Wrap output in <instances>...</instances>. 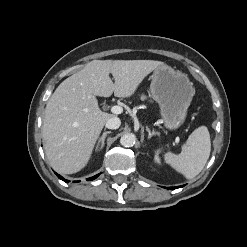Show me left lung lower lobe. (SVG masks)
Instances as JSON below:
<instances>
[{
  "instance_id": "1",
  "label": "left lung lower lobe",
  "mask_w": 247,
  "mask_h": 247,
  "mask_svg": "<svg viewBox=\"0 0 247 247\" xmlns=\"http://www.w3.org/2000/svg\"><path fill=\"white\" fill-rule=\"evenodd\" d=\"M180 187H183V186H177V187H169L167 189H171V190H174V189H177V188H180Z\"/></svg>"
}]
</instances>
